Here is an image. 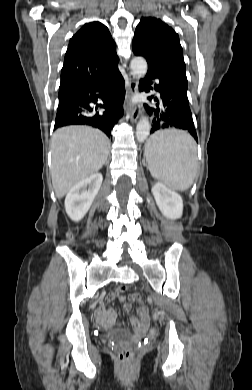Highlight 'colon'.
Here are the masks:
<instances>
[{
    "instance_id": "1",
    "label": "colon",
    "mask_w": 252,
    "mask_h": 390,
    "mask_svg": "<svg viewBox=\"0 0 252 390\" xmlns=\"http://www.w3.org/2000/svg\"><path fill=\"white\" fill-rule=\"evenodd\" d=\"M70 236V235H69ZM120 291H124L125 287H120ZM130 299L133 301H139V294H131ZM134 349L131 346H123L118 350L117 357L121 363H128L133 359Z\"/></svg>"
}]
</instances>
